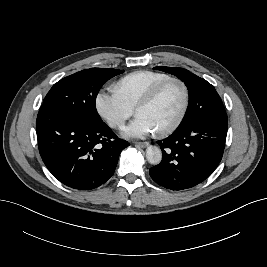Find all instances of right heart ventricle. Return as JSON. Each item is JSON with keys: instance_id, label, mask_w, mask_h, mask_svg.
Here are the masks:
<instances>
[{"instance_id": "1", "label": "right heart ventricle", "mask_w": 267, "mask_h": 267, "mask_svg": "<svg viewBox=\"0 0 267 267\" xmlns=\"http://www.w3.org/2000/svg\"><path fill=\"white\" fill-rule=\"evenodd\" d=\"M168 77L166 73L150 70L134 71L121 77L115 83L114 91L135 108L154 85Z\"/></svg>"}]
</instances>
